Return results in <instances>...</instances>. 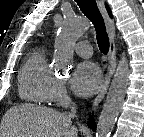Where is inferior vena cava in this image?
I'll use <instances>...</instances> for the list:
<instances>
[{
    "mask_svg": "<svg viewBox=\"0 0 144 137\" xmlns=\"http://www.w3.org/2000/svg\"><path fill=\"white\" fill-rule=\"evenodd\" d=\"M75 116H76V105L73 103L72 106L70 107L69 117H75Z\"/></svg>",
    "mask_w": 144,
    "mask_h": 137,
    "instance_id": "1",
    "label": "inferior vena cava"
}]
</instances>
